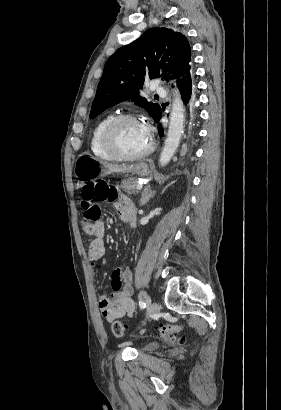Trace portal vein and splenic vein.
I'll return each mask as SVG.
<instances>
[{
    "mask_svg": "<svg viewBox=\"0 0 281 410\" xmlns=\"http://www.w3.org/2000/svg\"><path fill=\"white\" fill-rule=\"evenodd\" d=\"M143 188V184H137L136 189L141 190Z\"/></svg>",
    "mask_w": 281,
    "mask_h": 410,
    "instance_id": "1",
    "label": "portal vein and splenic vein"
}]
</instances>
